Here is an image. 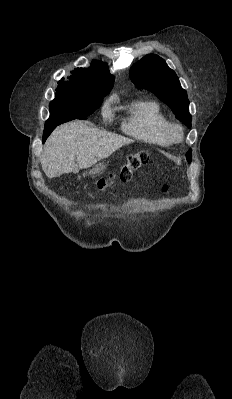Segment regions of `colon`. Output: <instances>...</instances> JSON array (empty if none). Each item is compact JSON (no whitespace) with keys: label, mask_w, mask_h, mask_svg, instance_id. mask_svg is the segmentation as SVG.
<instances>
[{"label":"colon","mask_w":232,"mask_h":399,"mask_svg":"<svg viewBox=\"0 0 232 399\" xmlns=\"http://www.w3.org/2000/svg\"><path fill=\"white\" fill-rule=\"evenodd\" d=\"M149 162V157L145 153H138L131 155L126 160V163H117L116 170L107 175L106 180H97V185L116 186L125 179H131L130 168H139L145 166ZM98 191H103V186H98ZM156 194H162V189H156Z\"/></svg>","instance_id":"obj_1"}]
</instances>
